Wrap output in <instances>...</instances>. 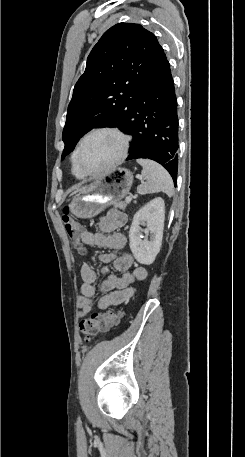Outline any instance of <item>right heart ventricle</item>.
I'll return each instance as SVG.
<instances>
[{
    "mask_svg": "<svg viewBox=\"0 0 245 457\" xmlns=\"http://www.w3.org/2000/svg\"><path fill=\"white\" fill-rule=\"evenodd\" d=\"M75 154L76 153H74L72 157V173L76 178L83 179L85 175L80 171L79 167L77 166Z\"/></svg>",
    "mask_w": 245,
    "mask_h": 457,
    "instance_id": "1",
    "label": "right heart ventricle"
}]
</instances>
